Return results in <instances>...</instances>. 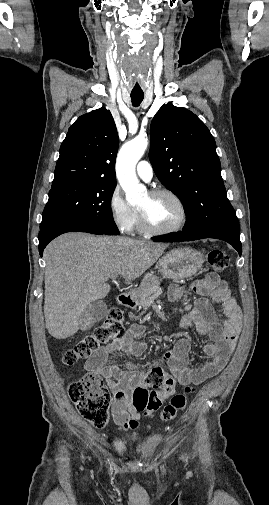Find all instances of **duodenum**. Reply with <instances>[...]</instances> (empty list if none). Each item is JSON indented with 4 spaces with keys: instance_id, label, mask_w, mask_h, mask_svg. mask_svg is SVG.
Returning <instances> with one entry per match:
<instances>
[{
    "instance_id": "410a0bca",
    "label": "duodenum",
    "mask_w": 269,
    "mask_h": 505,
    "mask_svg": "<svg viewBox=\"0 0 269 505\" xmlns=\"http://www.w3.org/2000/svg\"><path fill=\"white\" fill-rule=\"evenodd\" d=\"M117 302L123 307L132 308L136 305L134 296L131 293H122L118 295Z\"/></svg>"
}]
</instances>
